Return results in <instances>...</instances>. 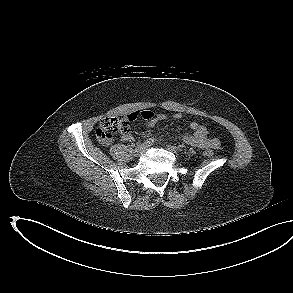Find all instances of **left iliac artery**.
Wrapping results in <instances>:
<instances>
[{
	"label": "left iliac artery",
	"mask_w": 293,
	"mask_h": 293,
	"mask_svg": "<svg viewBox=\"0 0 293 293\" xmlns=\"http://www.w3.org/2000/svg\"><path fill=\"white\" fill-rule=\"evenodd\" d=\"M183 148H184V145H179V146H178V150H180V151H182Z\"/></svg>",
	"instance_id": "obj_1"
}]
</instances>
